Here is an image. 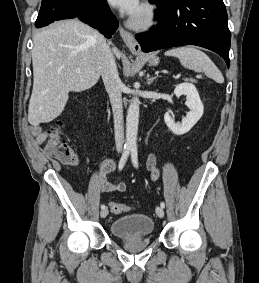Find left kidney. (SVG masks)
<instances>
[{"instance_id": "left-kidney-1", "label": "left kidney", "mask_w": 259, "mask_h": 283, "mask_svg": "<svg viewBox=\"0 0 259 283\" xmlns=\"http://www.w3.org/2000/svg\"><path fill=\"white\" fill-rule=\"evenodd\" d=\"M174 94L177 97L181 95L186 96L185 104L189 108L186 117L182 119L181 123H176L169 112L165 113L164 121L167 127L176 135H183L191 130V128L198 122L203 115V104L199 97L196 87L191 83H181L174 89Z\"/></svg>"}]
</instances>
